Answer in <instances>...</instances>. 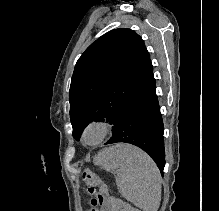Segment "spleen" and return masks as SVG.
Returning a JSON list of instances; mask_svg holds the SVG:
<instances>
[{
    "label": "spleen",
    "mask_w": 219,
    "mask_h": 211,
    "mask_svg": "<svg viewBox=\"0 0 219 211\" xmlns=\"http://www.w3.org/2000/svg\"><path fill=\"white\" fill-rule=\"evenodd\" d=\"M93 163L116 173V185L127 201L143 211H157L161 201V175L146 151L131 143H117L100 149Z\"/></svg>",
    "instance_id": "3e777b00"
}]
</instances>
